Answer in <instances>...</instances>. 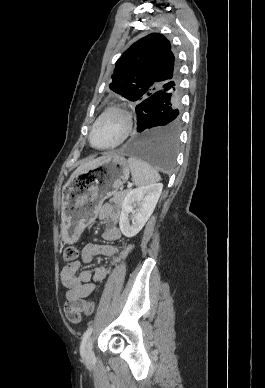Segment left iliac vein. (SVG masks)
Here are the masks:
<instances>
[{
    "label": "left iliac vein",
    "instance_id": "left-iliac-vein-1",
    "mask_svg": "<svg viewBox=\"0 0 265 388\" xmlns=\"http://www.w3.org/2000/svg\"><path fill=\"white\" fill-rule=\"evenodd\" d=\"M93 340L92 338H89L87 343H86V350H85V357L86 359L90 360L93 357Z\"/></svg>",
    "mask_w": 265,
    "mask_h": 388
}]
</instances>
